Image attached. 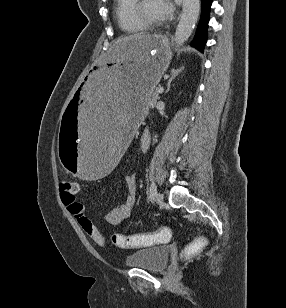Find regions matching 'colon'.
Masks as SVG:
<instances>
[{"label": "colon", "mask_w": 286, "mask_h": 308, "mask_svg": "<svg viewBox=\"0 0 286 308\" xmlns=\"http://www.w3.org/2000/svg\"><path fill=\"white\" fill-rule=\"evenodd\" d=\"M60 191L63 196L73 198L78 192L79 184L74 180H63L59 185ZM171 238V231L164 228L157 233L149 234H135V235H123L115 233L111 235V242L119 248H138L148 247L160 243H165ZM207 243V240L203 236L196 237L190 242L183 250V256L185 258H191L195 256Z\"/></svg>", "instance_id": "1"}]
</instances>
